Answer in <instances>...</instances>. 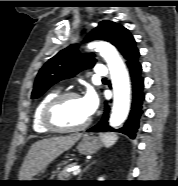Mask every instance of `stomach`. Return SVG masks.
Masks as SVG:
<instances>
[{"label": "stomach", "instance_id": "1", "mask_svg": "<svg viewBox=\"0 0 178 186\" xmlns=\"http://www.w3.org/2000/svg\"><path fill=\"white\" fill-rule=\"evenodd\" d=\"M102 145L103 142L101 138L90 136V135H83L81 141L77 145V150L79 151V153L83 155H90L98 151L102 147ZM28 181H32V182H27L28 183L27 185L39 186V185H43V183L38 181H44V180H41V178L39 177H35Z\"/></svg>", "mask_w": 178, "mask_h": 186}]
</instances>
